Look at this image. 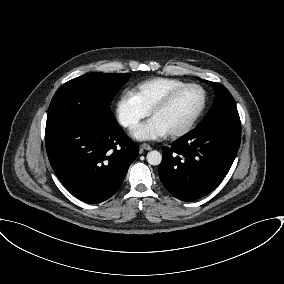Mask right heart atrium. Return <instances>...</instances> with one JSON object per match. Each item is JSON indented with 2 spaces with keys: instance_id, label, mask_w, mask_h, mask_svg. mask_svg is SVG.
I'll return each instance as SVG.
<instances>
[{
  "instance_id": "right-heart-atrium-1",
  "label": "right heart atrium",
  "mask_w": 284,
  "mask_h": 284,
  "mask_svg": "<svg viewBox=\"0 0 284 284\" xmlns=\"http://www.w3.org/2000/svg\"><path fill=\"white\" fill-rule=\"evenodd\" d=\"M149 115V111L138 101L135 95L124 92L115 104V116L124 128L135 127L142 119Z\"/></svg>"
}]
</instances>
